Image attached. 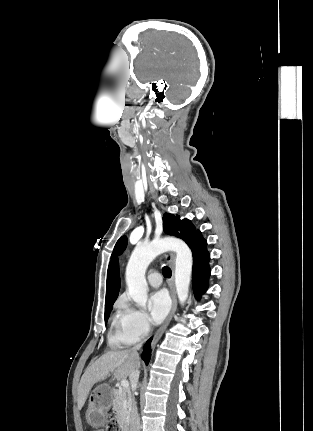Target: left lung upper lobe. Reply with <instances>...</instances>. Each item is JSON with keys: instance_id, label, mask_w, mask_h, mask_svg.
<instances>
[{"instance_id": "1", "label": "left lung upper lobe", "mask_w": 313, "mask_h": 431, "mask_svg": "<svg viewBox=\"0 0 313 431\" xmlns=\"http://www.w3.org/2000/svg\"><path fill=\"white\" fill-rule=\"evenodd\" d=\"M164 231L168 234L175 235L178 238L184 240L188 245L196 237L199 230L195 227L188 219L180 220L179 216H174L172 214H165L163 218ZM127 246V237L122 236L116 243L113 254H121Z\"/></svg>"}]
</instances>
